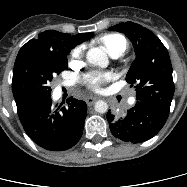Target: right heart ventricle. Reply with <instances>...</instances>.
Here are the masks:
<instances>
[{
  "mask_svg": "<svg viewBox=\"0 0 187 187\" xmlns=\"http://www.w3.org/2000/svg\"><path fill=\"white\" fill-rule=\"evenodd\" d=\"M98 41L111 56L123 55L128 48L126 39L120 34H106Z\"/></svg>",
  "mask_w": 187,
  "mask_h": 187,
  "instance_id": "e07e8e85",
  "label": "right heart ventricle"
}]
</instances>
